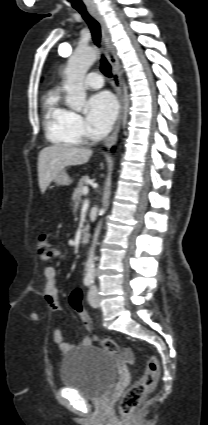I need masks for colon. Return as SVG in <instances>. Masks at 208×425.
I'll use <instances>...</instances> for the list:
<instances>
[{
    "label": "colon",
    "instance_id": "1",
    "mask_svg": "<svg viewBox=\"0 0 208 425\" xmlns=\"http://www.w3.org/2000/svg\"><path fill=\"white\" fill-rule=\"evenodd\" d=\"M36 249L40 254L49 255L54 252V248L48 234L43 233L39 236L36 243ZM82 299L83 293L81 289H73L69 296L70 307L73 311L82 315L87 327L90 330H93L90 318L83 307ZM94 338L103 349L112 354H118L121 350L120 345L114 340L99 338L96 335H94ZM158 377V360L153 355H148L146 357L145 372L143 376L125 391L120 400L119 412L122 416L129 417L134 413L144 398L154 390Z\"/></svg>",
    "mask_w": 208,
    "mask_h": 425
}]
</instances>
